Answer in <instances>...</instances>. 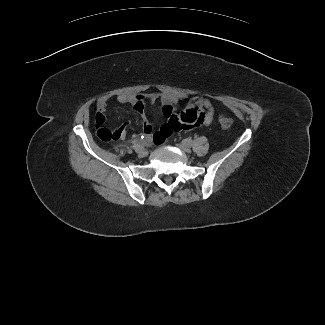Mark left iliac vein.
I'll use <instances>...</instances> for the list:
<instances>
[{"mask_svg": "<svg viewBox=\"0 0 325 325\" xmlns=\"http://www.w3.org/2000/svg\"><path fill=\"white\" fill-rule=\"evenodd\" d=\"M177 146H178V148H180L184 152H187V153H190L191 152L190 146H188V145H186L184 143L177 144Z\"/></svg>", "mask_w": 325, "mask_h": 325, "instance_id": "left-iliac-vein-1", "label": "left iliac vein"}]
</instances>
